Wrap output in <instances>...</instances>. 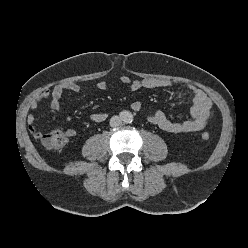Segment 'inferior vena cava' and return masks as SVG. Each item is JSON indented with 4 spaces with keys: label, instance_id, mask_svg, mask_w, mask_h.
Wrapping results in <instances>:
<instances>
[{
    "label": "inferior vena cava",
    "instance_id": "obj_1",
    "mask_svg": "<svg viewBox=\"0 0 248 248\" xmlns=\"http://www.w3.org/2000/svg\"><path fill=\"white\" fill-rule=\"evenodd\" d=\"M121 123H122V121H121V118L119 116H113L110 119V126L111 127H118L121 125Z\"/></svg>",
    "mask_w": 248,
    "mask_h": 248
}]
</instances>
